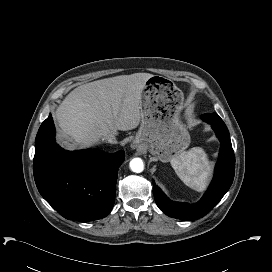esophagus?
Instances as JSON below:
<instances>
[{"label": "esophagus", "instance_id": "obj_1", "mask_svg": "<svg viewBox=\"0 0 272 272\" xmlns=\"http://www.w3.org/2000/svg\"><path fill=\"white\" fill-rule=\"evenodd\" d=\"M137 146H138L137 143L134 141L133 144H132V148L135 149V148H137Z\"/></svg>", "mask_w": 272, "mask_h": 272}]
</instances>
